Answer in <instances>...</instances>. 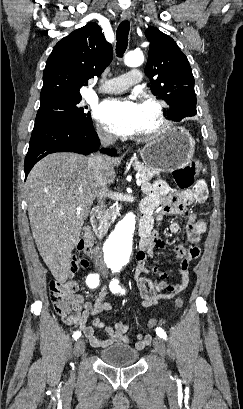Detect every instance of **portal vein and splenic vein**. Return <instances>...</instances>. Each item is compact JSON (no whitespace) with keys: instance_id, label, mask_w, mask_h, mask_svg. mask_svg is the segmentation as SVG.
I'll return each instance as SVG.
<instances>
[{"instance_id":"18ae733b","label":"portal vein and splenic vein","mask_w":243,"mask_h":409,"mask_svg":"<svg viewBox=\"0 0 243 409\" xmlns=\"http://www.w3.org/2000/svg\"><path fill=\"white\" fill-rule=\"evenodd\" d=\"M136 184H137V186H140V185L142 184V181H141V179H140V175H139V174H137V176H136ZM77 209L80 210V207H78Z\"/></svg>"}]
</instances>
